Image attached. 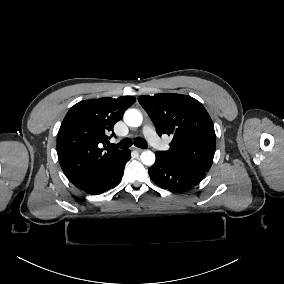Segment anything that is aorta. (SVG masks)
<instances>
[{"instance_id":"obj_1","label":"aorta","mask_w":284,"mask_h":284,"mask_svg":"<svg viewBox=\"0 0 284 284\" xmlns=\"http://www.w3.org/2000/svg\"><path fill=\"white\" fill-rule=\"evenodd\" d=\"M124 122L130 127H139L143 122V116L138 109H128L124 114ZM144 165L151 166L155 163V154L150 150H145L140 155Z\"/></svg>"}]
</instances>
